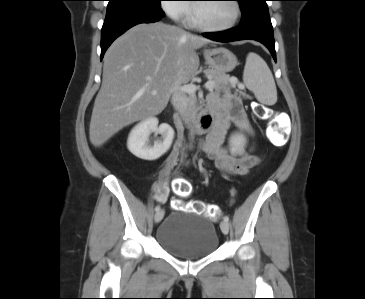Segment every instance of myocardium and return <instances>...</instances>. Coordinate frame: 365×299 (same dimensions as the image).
<instances>
[{
    "instance_id": "obj_1",
    "label": "myocardium",
    "mask_w": 365,
    "mask_h": 299,
    "mask_svg": "<svg viewBox=\"0 0 365 299\" xmlns=\"http://www.w3.org/2000/svg\"><path fill=\"white\" fill-rule=\"evenodd\" d=\"M230 1L233 2L234 8H235V16L231 23H229L225 26H220V27L209 26V25L204 24L203 22L200 21V19L198 17L196 4L191 6V23L195 27H197L201 30L207 31V32H225V31L231 30L240 21V18L242 15V9H241V5L238 0H230Z\"/></svg>"
}]
</instances>
